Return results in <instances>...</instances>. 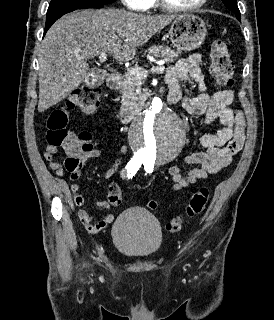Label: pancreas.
<instances>
[{
    "label": "pancreas",
    "mask_w": 274,
    "mask_h": 320,
    "mask_svg": "<svg viewBox=\"0 0 274 320\" xmlns=\"http://www.w3.org/2000/svg\"><path fill=\"white\" fill-rule=\"evenodd\" d=\"M179 54H182L181 50H172V48H168V46H151L148 50V56L163 58L165 62H174V60H177ZM123 78L124 82L120 90V94H122L121 110L137 112L141 102L138 94L144 90V88H142V80H137L132 74H125Z\"/></svg>",
    "instance_id": "pancreas-1"
}]
</instances>
